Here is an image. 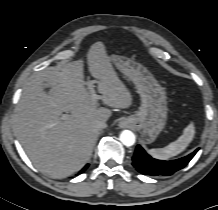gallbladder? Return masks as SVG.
<instances>
[{"label":"gallbladder","instance_id":"gallbladder-1","mask_svg":"<svg viewBox=\"0 0 218 210\" xmlns=\"http://www.w3.org/2000/svg\"><path fill=\"white\" fill-rule=\"evenodd\" d=\"M45 87H46V89H49V86H48V84H47V83H45Z\"/></svg>","mask_w":218,"mask_h":210}]
</instances>
